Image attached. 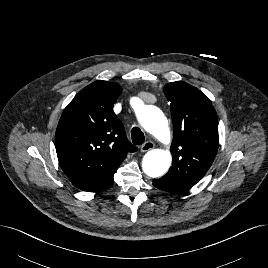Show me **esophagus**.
<instances>
[{
	"mask_svg": "<svg viewBox=\"0 0 268 268\" xmlns=\"http://www.w3.org/2000/svg\"><path fill=\"white\" fill-rule=\"evenodd\" d=\"M154 146H155V145H154V143H153L152 141L145 142V143L141 146L140 151H141V152H147V151L153 149Z\"/></svg>",
	"mask_w": 268,
	"mask_h": 268,
	"instance_id": "obj_1",
	"label": "esophagus"
}]
</instances>
